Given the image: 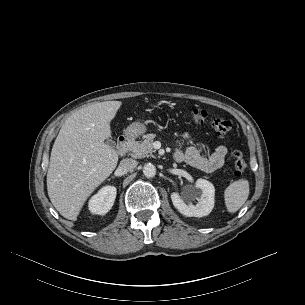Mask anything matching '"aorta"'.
Returning a JSON list of instances; mask_svg holds the SVG:
<instances>
[{"mask_svg":"<svg viewBox=\"0 0 305 305\" xmlns=\"http://www.w3.org/2000/svg\"><path fill=\"white\" fill-rule=\"evenodd\" d=\"M143 174L147 178H152L156 174V167L152 163H147L143 166Z\"/></svg>","mask_w":305,"mask_h":305,"instance_id":"obj_1","label":"aorta"}]
</instances>
